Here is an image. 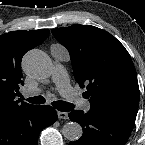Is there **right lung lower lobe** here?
<instances>
[{
	"label": "right lung lower lobe",
	"instance_id": "right-lung-lower-lobe-1",
	"mask_svg": "<svg viewBox=\"0 0 145 145\" xmlns=\"http://www.w3.org/2000/svg\"><path fill=\"white\" fill-rule=\"evenodd\" d=\"M57 120L54 108L31 105L0 119V145H37L42 129Z\"/></svg>",
	"mask_w": 145,
	"mask_h": 145
}]
</instances>
